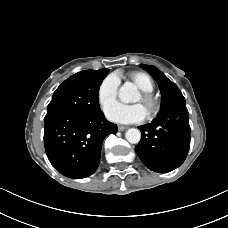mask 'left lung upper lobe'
<instances>
[{
    "mask_svg": "<svg viewBox=\"0 0 228 228\" xmlns=\"http://www.w3.org/2000/svg\"><path fill=\"white\" fill-rule=\"evenodd\" d=\"M141 67L150 73L159 85L162 100L161 109L158 115L174 103L185 101V98L176 84L169 80L160 70L157 69V67L146 64H141Z\"/></svg>",
    "mask_w": 228,
    "mask_h": 228,
    "instance_id": "5c2ea615",
    "label": "left lung upper lobe"
}]
</instances>
